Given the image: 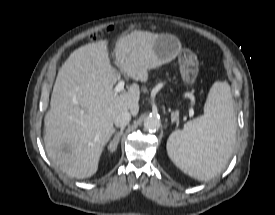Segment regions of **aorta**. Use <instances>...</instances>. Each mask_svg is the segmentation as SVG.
<instances>
[{
	"mask_svg": "<svg viewBox=\"0 0 275 215\" xmlns=\"http://www.w3.org/2000/svg\"><path fill=\"white\" fill-rule=\"evenodd\" d=\"M160 125V117L155 114L149 115L144 120V129L149 132H155L160 128Z\"/></svg>",
	"mask_w": 275,
	"mask_h": 215,
	"instance_id": "aorta-1",
	"label": "aorta"
}]
</instances>
